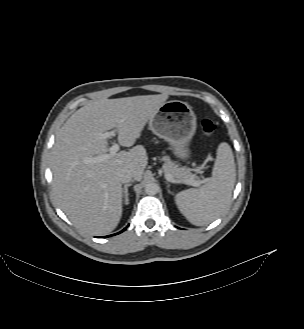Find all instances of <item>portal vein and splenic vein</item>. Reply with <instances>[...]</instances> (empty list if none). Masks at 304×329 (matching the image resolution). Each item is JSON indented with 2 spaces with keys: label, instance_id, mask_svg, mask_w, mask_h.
Instances as JSON below:
<instances>
[{
  "label": "portal vein and splenic vein",
  "instance_id": "1",
  "mask_svg": "<svg viewBox=\"0 0 304 329\" xmlns=\"http://www.w3.org/2000/svg\"><path fill=\"white\" fill-rule=\"evenodd\" d=\"M114 135H115V130L104 133V137L105 138H111ZM119 149H120L119 144H117L116 142H114L113 145L109 148V153L102 154V155H99L97 157L87 158L86 159V162L96 163V162L105 161V160L111 158L112 156H114L116 154V152L119 151ZM165 178L169 182H172V183H183V184H187V185H191V186H195V187H198V186H200L201 184H203L205 182L204 180H192V179H188V180H184V181H179V180L173 178L170 174H166V173H165Z\"/></svg>",
  "mask_w": 304,
  "mask_h": 329
}]
</instances>
